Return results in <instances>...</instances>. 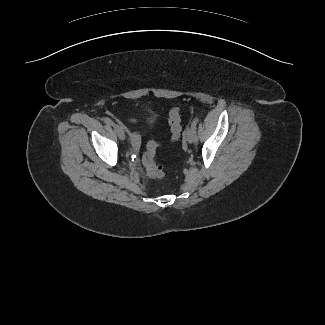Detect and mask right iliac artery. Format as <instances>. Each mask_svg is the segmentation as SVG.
Here are the masks:
<instances>
[{"mask_svg":"<svg viewBox=\"0 0 325 325\" xmlns=\"http://www.w3.org/2000/svg\"><path fill=\"white\" fill-rule=\"evenodd\" d=\"M104 122H105V124H107L108 126H113V125H114L113 122H112V120L109 119V118H104Z\"/></svg>","mask_w":325,"mask_h":325,"instance_id":"right-iliac-artery-1","label":"right iliac artery"}]
</instances>
